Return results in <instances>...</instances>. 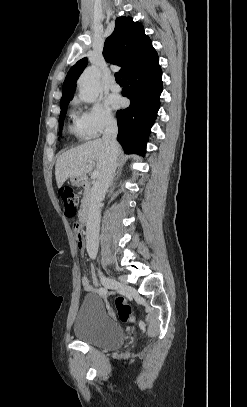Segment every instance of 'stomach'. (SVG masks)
<instances>
[{
  "label": "stomach",
  "mask_w": 247,
  "mask_h": 407,
  "mask_svg": "<svg viewBox=\"0 0 247 407\" xmlns=\"http://www.w3.org/2000/svg\"><path fill=\"white\" fill-rule=\"evenodd\" d=\"M71 183L74 185V186H83V184H84V178L83 177H71Z\"/></svg>",
  "instance_id": "stomach-1"
}]
</instances>
